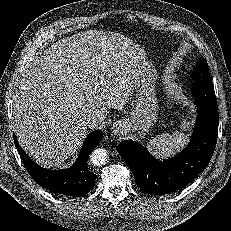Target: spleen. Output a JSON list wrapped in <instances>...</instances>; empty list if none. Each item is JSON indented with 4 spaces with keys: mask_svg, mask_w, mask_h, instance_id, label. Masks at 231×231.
<instances>
[{
    "mask_svg": "<svg viewBox=\"0 0 231 231\" xmlns=\"http://www.w3.org/2000/svg\"><path fill=\"white\" fill-rule=\"evenodd\" d=\"M190 123L184 120L181 124V129L187 131ZM188 140L185 133L175 131L173 134L162 133L148 142V149L156 157L169 158L175 154L177 150L184 147Z\"/></svg>",
    "mask_w": 231,
    "mask_h": 231,
    "instance_id": "spleen-1",
    "label": "spleen"
}]
</instances>
